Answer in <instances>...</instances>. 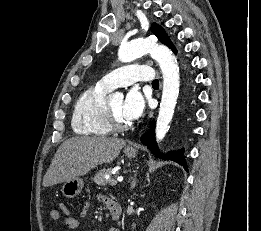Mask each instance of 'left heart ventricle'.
I'll use <instances>...</instances> for the list:
<instances>
[{
  "mask_svg": "<svg viewBox=\"0 0 261 231\" xmlns=\"http://www.w3.org/2000/svg\"><path fill=\"white\" fill-rule=\"evenodd\" d=\"M110 105L112 110L114 111L115 115L117 116V118L122 121V122H129L124 114H123V99L119 98V99H114L112 101H110Z\"/></svg>",
  "mask_w": 261,
  "mask_h": 231,
  "instance_id": "b2bd125f",
  "label": "left heart ventricle"
}]
</instances>
